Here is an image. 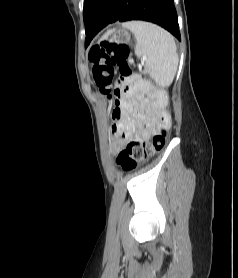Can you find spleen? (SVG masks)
Wrapping results in <instances>:
<instances>
[{"mask_svg":"<svg viewBox=\"0 0 238 278\" xmlns=\"http://www.w3.org/2000/svg\"><path fill=\"white\" fill-rule=\"evenodd\" d=\"M123 27L134 34L136 54L145 57L146 72L159 86H169L178 66L173 36L161 27L144 21L126 22Z\"/></svg>","mask_w":238,"mask_h":278,"instance_id":"1","label":"spleen"}]
</instances>
